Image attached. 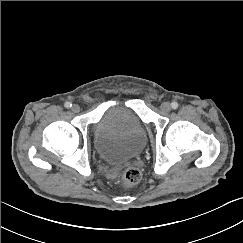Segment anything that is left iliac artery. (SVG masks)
Here are the masks:
<instances>
[{
  "mask_svg": "<svg viewBox=\"0 0 243 243\" xmlns=\"http://www.w3.org/2000/svg\"><path fill=\"white\" fill-rule=\"evenodd\" d=\"M171 107H172L173 109H177V108H178V103H177V102H172V103H171Z\"/></svg>",
  "mask_w": 243,
  "mask_h": 243,
  "instance_id": "obj_1",
  "label": "left iliac artery"
}]
</instances>
